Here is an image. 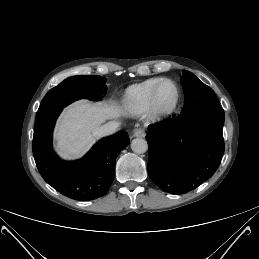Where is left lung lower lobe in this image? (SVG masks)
Segmentation results:
<instances>
[{"mask_svg": "<svg viewBox=\"0 0 259 259\" xmlns=\"http://www.w3.org/2000/svg\"><path fill=\"white\" fill-rule=\"evenodd\" d=\"M223 108L208 107L149 126L148 174L164 192L184 194L217 170L225 146Z\"/></svg>", "mask_w": 259, "mask_h": 259, "instance_id": "0a47b994", "label": "left lung lower lobe"}]
</instances>
